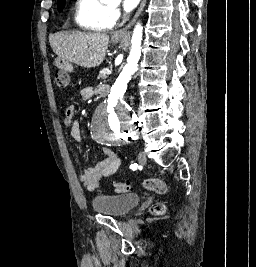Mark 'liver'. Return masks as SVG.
Instances as JSON below:
<instances>
[{
	"label": "liver",
	"instance_id": "liver-1",
	"mask_svg": "<svg viewBox=\"0 0 256 267\" xmlns=\"http://www.w3.org/2000/svg\"><path fill=\"white\" fill-rule=\"evenodd\" d=\"M114 38H117V32ZM49 42L65 64L73 62L83 68H96L105 60L109 36L100 32H56L49 34Z\"/></svg>",
	"mask_w": 256,
	"mask_h": 267
}]
</instances>
